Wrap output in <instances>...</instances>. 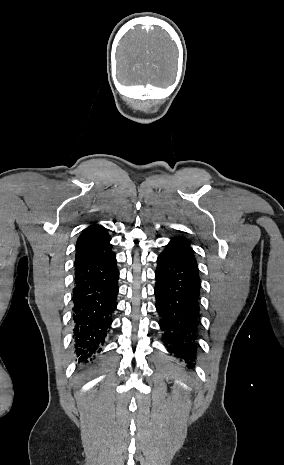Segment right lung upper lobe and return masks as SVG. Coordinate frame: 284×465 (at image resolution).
Masks as SVG:
<instances>
[{
    "label": "right lung upper lobe",
    "mask_w": 284,
    "mask_h": 465,
    "mask_svg": "<svg viewBox=\"0 0 284 465\" xmlns=\"http://www.w3.org/2000/svg\"><path fill=\"white\" fill-rule=\"evenodd\" d=\"M110 236L106 228L92 224L86 228L79 236L76 244V258L87 251L97 247L101 242L107 240Z\"/></svg>",
    "instance_id": "cb5924a9"
}]
</instances>
